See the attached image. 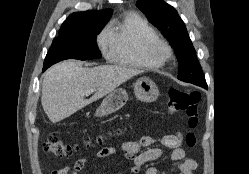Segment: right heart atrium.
Returning a JSON list of instances; mask_svg holds the SVG:
<instances>
[{
    "instance_id": "right-heart-atrium-1",
    "label": "right heart atrium",
    "mask_w": 249,
    "mask_h": 174,
    "mask_svg": "<svg viewBox=\"0 0 249 174\" xmlns=\"http://www.w3.org/2000/svg\"><path fill=\"white\" fill-rule=\"evenodd\" d=\"M97 44L102 54L110 58L112 52V40L107 29H104L97 37Z\"/></svg>"
}]
</instances>
